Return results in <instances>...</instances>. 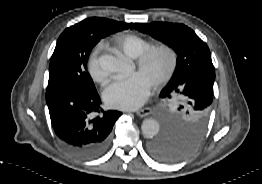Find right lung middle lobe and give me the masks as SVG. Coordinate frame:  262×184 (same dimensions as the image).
Here are the masks:
<instances>
[{
    "label": "right lung middle lobe",
    "mask_w": 262,
    "mask_h": 184,
    "mask_svg": "<svg viewBox=\"0 0 262 184\" xmlns=\"http://www.w3.org/2000/svg\"><path fill=\"white\" fill-rule=\"evenodd\" d=\"M127 29L103 18L85 19L66 28L60 35L49 66V86H74L96 90L87 72V60L92 48L112 33Z\"/></svg>",
    "instance_id": "obj_1"
}]
</instances>
